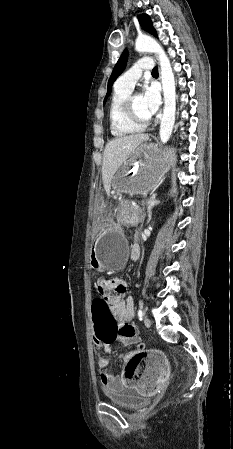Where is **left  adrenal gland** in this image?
<instances>
[{
	"mask_svg": "<svg viewBox=\"0 0 233 449\" xmlns=\"http://www.w3.org/2000/svg\"><path fill=\"white\" fill-rule=\"evenodd\" d=\"M157 194H152L150 198L146 201L147 204V212H148V220L147 223L151 221L152 218V209L154 206L160 204V201L156 199Z\"/></svg>",
	"mask_w": 233,
	"mask_h": 449,
	"instance_id": "left-adrenal-gland-1",
	"label": "left adrenal gland"
}]
</instances>
